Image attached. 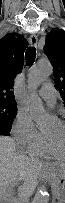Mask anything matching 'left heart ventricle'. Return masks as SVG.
Here are the masks:
<instances>
[{
  "label": "left heart ventricle",
  "mask_w": 65,
  "mask_h": 203,
  "mask_svg": "<svg viewBox=\"0 0 65 203\" xmlns=\"http://www.w3.org/2000/svg\"><path fill=\"white\" fill-rule=\"evenodd\" d=\"M45 136L54 141L59 150L63 149L65 144V129L60 122L48 129Z\"/></svg>",
  "instance_id": "1"
}]
</instances>
